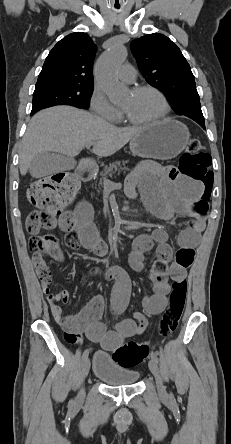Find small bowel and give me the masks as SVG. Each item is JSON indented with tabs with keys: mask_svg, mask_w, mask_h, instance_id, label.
<instances>
[{
	"mask_svg": "<svg viewBox=\"0 0 231 444\" xmlns=\"http://www.w3.org/2000/svg\"><path fill=\"white\" fill-rule=\"evenodd\" d=\"M126 194L134 198L141 194L146 206L158 218L171 220L176 215L194 218L192 228L181 232L180 248L173 258V251L167 243L166 232L159 228L151 234H141L136 237L129 256L130 265L138 271L145 267L144 254L157 245V260L151 269L152 293L143 298V308L151 315L162 313L167 304L171 291L169 280L186 278L187 269L195 257V247L204 229V213L196 208L201 202L203 186L200 182L181 175L175 167L161 166L146 162L138 165L127 176L125 183ZM58 226L66 234V243L73 249L82 248L96 256L107 254V246L96 232L93 222V212L88 202L82 201L73 213H65L58 220ZM38 275L48 269L42 257H33ZM99 273V270H94ZM116 284L112 292V305L117 310L126 307L130 295V280L120 270H113ZM46 300L55 321L63 329L68 342H79L83 336L98 343L104 350L112 351L119 348L130 337L143 333L148 325L147 318L133 312L129 317L116 323L108 330L100 318L104 309V298L101 295L93 297L77 314L64 315L61 306L69 304L67 291L53 294L48 287H43Z\"/></svg>",
	"mask_w": 231,
	"mask_h": 444,
	"instance_id": "1",
	"label": "small bowel"
}]
</instances>
